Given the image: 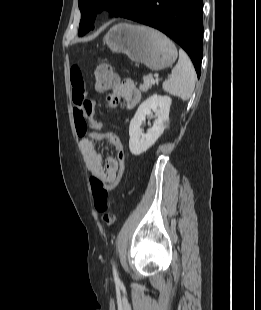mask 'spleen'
Wrapping results in <instances>:
<instances>
[{"mask_svg": "<svg viewBox=\"0 0 261 310\" xmlns=\"http://www.w3.org/2000/svg\"><path fill=\"white\" fill-rule=\"evenodd\" d=\"M196 79L191 60L183 50H179L178 63L172 69L171 77L164 81L162 87L165 92L187 101L194 91Z\"/></svg>", "mask_w": 261, "mask_h": 310, "instance_id": "obj_1", "label": "spleen"}]
</instances>
